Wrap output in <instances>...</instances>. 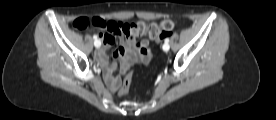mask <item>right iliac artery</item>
Listing matches in <instances>:
<instances>
[{
    "label": "right iliac artery",
    "mask_w": 276,
    "mask_h": 120,
    "mask_svg": "<svg viewBox=\"0 0 276 120\" xmlns=\"http://www.w3.org/2000/svg\"><path fill=\"white\" fill-rule=\"evenodd\" d=\"M93 38L95 39V42H94L95 47H100L101 42H100V41H97V36L94 35Z\"/></svg>",
    "instance_id": "1"
}]
</instances>
